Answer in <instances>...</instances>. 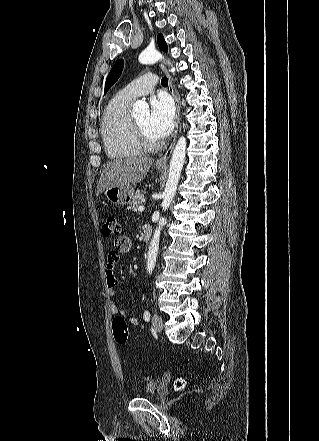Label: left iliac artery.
<instances>
[{
  "label": "left iliac artery",
  "mask_w": 319,
  "mask_h": 441,
  "mask_svg": "<svg viewBox=\"0 0 319 441\" xmlns=\"http://www.w3.org/2000/svg\"><path fill=\"white\" fill-rule=\"evenodd\" d=\"M143 318H144L145 321H149L150 320V313H149V311L146 310L144 312Z\"/></svg>",
  "instance_id": "obj_1"
}]
</instances>
